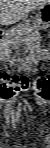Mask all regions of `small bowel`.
Instances as JSON below:
<instances>
[{"mask_svg": "<svg viewBox=\"0 0 50 148\" xmlns=\"http://www.w3.org/2000/svg\"><path fill=\"white\" fill-rule=\"evenodd\" d=\"M13 113H14V108H13L10 104L4 105V107H3V114H4L5 118H6L9 122H10L11 119H12ZM45 141L48 143V142H49V139L46 137V138H45ZM21 147H24V146H21ZM46 147L49 148L50 146L47 145Z\"/></svg>", "mask_w": 50, "mask_h": 148, "instance_id": "1", "label": "small bowel"}]
</instances>
